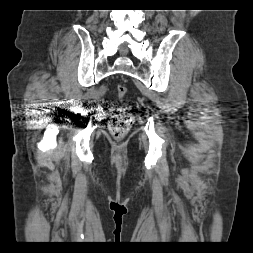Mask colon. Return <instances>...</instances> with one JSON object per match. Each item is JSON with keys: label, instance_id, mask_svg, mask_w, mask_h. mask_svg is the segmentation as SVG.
<instances>
[{"label": "colon", "instance_id": "obj_1", "mask_svg": "<svg viewBox=\"0 0 253 253\" xmlns=\"http://www.w3.org/2000/svg\"><path fill=\"white\" fill-rule=\"evenodd\" d=\"M117 97L122 99L127 94V88L118 84L116 88ZM134 122V115L130 107H120L109 120V130L115 139H122Z\"/></svg>", "mask_w": 253, "mask_h": 253}]
</instances>
